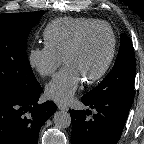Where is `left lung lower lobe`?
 Wrapping results in <instances>:
<instances>
[{"label": "left lung lower lobe", "mask_w": 144, "mask_h": 144, "mask_svg": "<svg viewBox=\"0 0 144 144\" xmlns=\"http://www.w3.org/2000/svg\"><path fill=\"white\" fill-rule=\"evenodd\" d=\"M82 102L96 110L92 119L90 110H69L72 123V144H117L122 134L133 100L117 96L97 99L82 97Z\"/></svg>", "instance_id": "left-lung-lower-lobe-1"}]
</instances>
